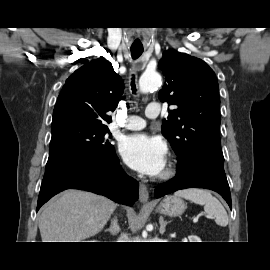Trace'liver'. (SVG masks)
<instances>
[{"label": "liver", "instance_id": "6515ba94", "mask_svg": "<svg viewBox=\"0 0 270 270\" xmlns=\"http://www.w3.org/2000/svg\"><path fill=\"white\" fill-rule=\"evenodd\" d=\"M116 204L93 193L67 190L47 203L39 218L42 242H80L99 233Z\"/></svg>", "mask_w": 270, "mask_h": 270}]
</instances>
